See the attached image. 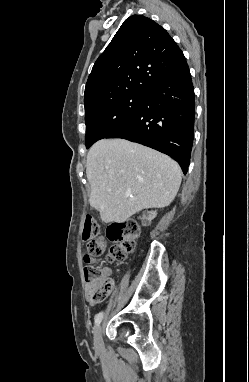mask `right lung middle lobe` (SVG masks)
Segmentation results:
<instances>
[{"instance_id":"right-lung-middle-lobe-1","label":"right lung middle lobe","mask_w":249,"mask_h":382,"mask_svg":"<svg viewBox=\"0 0 249 382\" xmlns=\"http://www.w3.org/2000/svg\"><path fill=\"white\" fill-rule=\"evenodd\" d=\"M147 92L130 93L115 100L85 108L86 148L107 138L141 109Z\"/></svg>"}]
</instances>
